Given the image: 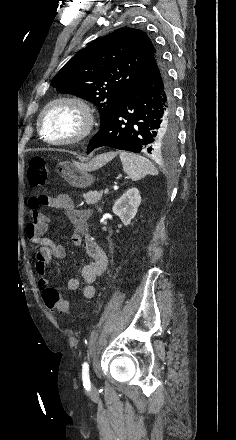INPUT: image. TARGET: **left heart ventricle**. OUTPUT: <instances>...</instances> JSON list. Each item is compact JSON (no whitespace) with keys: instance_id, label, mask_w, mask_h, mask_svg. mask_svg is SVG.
Here are the masks:
<instances>
[{"instance_id":"left-heart-ventricle-1","label":"left heart ventricle","mask_w":236,"mask_h":440,"mask_svg":"<svg viewBox=\"0 0 236 440\" xmlns=\"http://www.w3.org/2000/svg\"><path fill=\"white\" fill-rule=\"evenodd\" d=\"M79 127V116L65 105L52 108L44 120L45 136L51 139L71 137L78 132Z\"/></svg>"}]
</instances>
